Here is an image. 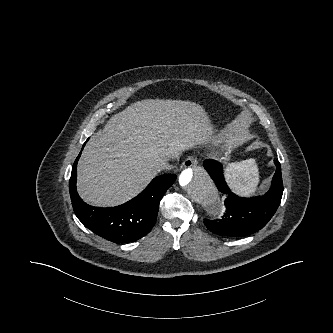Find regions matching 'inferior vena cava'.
Returning a JSON list of instances; mask_svg holds the SVG:
<instances>
[{
  "mask_svg": "<svg viewBox=\"0 0 333 333\" xmlns=\"http://www.w3.org/2000/svg\"><path fill=\"white\" fill-rule=\"evenodd\" d=\"M155 167L157 168V170H169V169H171V165L166 160H162V161L157 162L155 164Z\"/></svg>",
  "mask_w": 333,
  "mask_h": 333,
  "instance_id": "602c4592",
  "label": "inferior vena cava"
}]
</instances>
